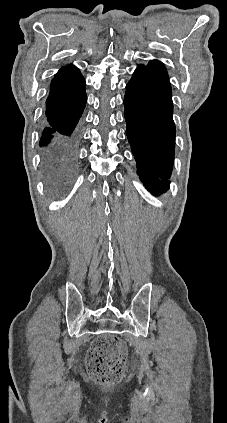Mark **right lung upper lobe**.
<instances>
[{
  "label": "right lung upper lobe",
  "mask_w": 227,
  "mask_h": 423,
  "mask_svg": "<svg viewBox=\"0 0 227 423\" xmlns=\"http://www.w3.org/2000/svg\"><path fill=\"white\" fill-rule=\"evenodd\" d=\"M50 90L64 95L78 94L85 90V80L76 67L66 66L55 75Z\"/></svg>",
  "instance_id": "right-lung-upper-lobe-1"
}]
</instances>
